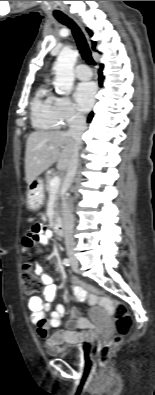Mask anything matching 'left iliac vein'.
I'll return each instance as SVG.
<instances>
[{"label": "left iliac vein", "mask_w": 155, "mask_h": 395, "mask_svg": "<svg viewBox=\"0 0 155 395\" xmlns=\"http://www.w3.org/2000/svg\"><path fill=\"white\" fill-rule=\"evenodd\" d=\"M71 268H72V270L74 272H78V263L77 262H72Z\"/></svg>", "instance_id": "obj_1"}]
</instances>
